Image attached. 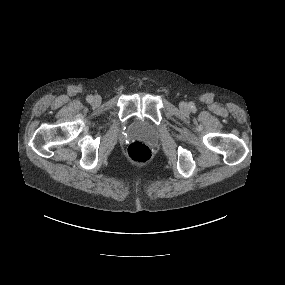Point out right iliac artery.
Returning <instances> with one entry per match:
<instances>
[{"label":"right iliac artery","instance_id":"82829eb1","mask_svg":"<svg viewBox=\"0 0 285 285\" xmlns=\"http://www.w3.org/2000/svg\"><path fill=\"white\" fill-rule=\"evenodd\" d=\"M87 102L91 103L93 101V96L89 95L86 98Z\"/></svg>","mask_w":285,"mask_h":285}]
</instances>
